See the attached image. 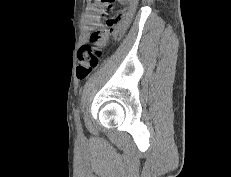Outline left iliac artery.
Wrapping results in <instances>:
<instances>
[{
    "instance_id": "1",
    "label": "left iliac artery",
    "mask_w": 231,
    "mask_h": 177,
    "mask_svg": "<svg viewBox=\"0 0 231 177\" xmlns=\"http://www.w3.org/2000/svg\"><path fill=\"white\" fill-rule=\"evenodd\" d=\"M74 116H75V121H76L77 127L79 130H81V123H80V116H79V109L78 108L75 110Z\"/></svg>"
}]
</instances>
